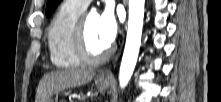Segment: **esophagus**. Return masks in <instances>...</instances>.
Returning a JSON list of instances; mask_svg holds the SVG:
<instances>
[{
	"label": "esophagus",
	"mask_w": 221,
	"mask_h": 102,
	"mask_svg": "<svg viewBox=\"0 0 221 102\" xmlns=\"http://www.w3.org/2000/svg\"><path fill=\"white\" fill-rule=\"evenodd\" d=\"M102 77H105V78H110L112 77V73L110 70H105L102 74H101Z\"/></svg>",
	"instance_id": "esophagus-1"
}]
</instances>
